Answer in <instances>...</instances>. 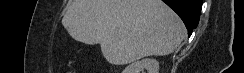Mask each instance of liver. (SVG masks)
<instances>
[{
    "label": "liver",
    "instance_id": "liver-1",
    "mask_svg": "<svg viewBox=\"0 0 244 73\" xmlns=\"http://www.w3.org/2000/svg\"><path fill=\"white\" fill-rule=\"evenodd\" d=\"M62 24L73 39L99 43L114 65L169 55L186 35L180 17L161 0H73Z\"/></svg>",
    "mask_w": 244,
    "mask_h": 73
}]
</instances>
